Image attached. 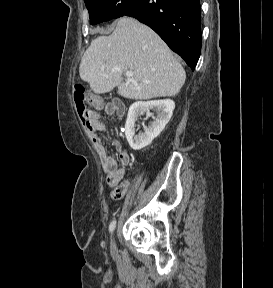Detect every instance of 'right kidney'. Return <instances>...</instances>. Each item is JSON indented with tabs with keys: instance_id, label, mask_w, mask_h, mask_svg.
Instances as JSON below:
<instances>
[{
	"instance_id": "ca27d5eb",
	"label": "right kidney",
	"mask_w": 273,
	"mask_h": 288,
	"mask_svg": "<svg viewBox=\"0 0 273 288\" xmlns=\"http://www.w3.org/2000/svg\"><path fill=\"white\" fill-rule=\"evenodd\" d=\"M174 108L175 103L170 99L133 103L129 108L125 124V136L130 147L133 150H141L150 145L169 122ZM150 110H154L157 113V117H154ZM144 113H146L148 117L153 116L154 121L148 127L144 128L143 133L135 135V122L138 116Z\"/></svg>"
}]
</instances>
